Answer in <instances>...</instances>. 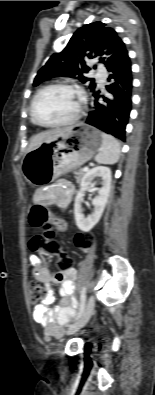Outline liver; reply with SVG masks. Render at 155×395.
I'll list each match as a JSON object with an SVG mask.
<instances>
[{
  "label": "liver",
  "mask_w": 155,
  "mask_h": 395,
  "mask_svg": "<svg viewBox=\"0 0 155 395\" xmlns=\"http://www.w3.org/2000/svg\"><path fill=\"white\" fill-rule=\"evenodd\" d=\"M60 130H51L39 133L31 138L28 151L40 146L44 142L51 141Z\"/></svg>",
  "instance_id": "obj_1"
}]
</instances>
